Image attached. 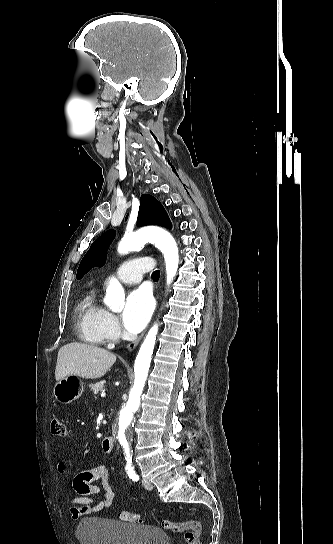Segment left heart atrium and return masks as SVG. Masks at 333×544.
<instances>
[{
  "instance_id": "obj_1",
  "label": "left heart atrium",
  "mask_w": 333,
  "mask_h": 544,
  "mask_svg": "<svg viewBox=\"0 0 333 544\" xmlns=\"http://www.w3.org/2000/svg\"><path fill=\"white\" fill-rule=\"evenodd\" d=\"M154 308L151 292L145 287L133 290L127 297L122 322L130 333L140 332L149 321Z\"/></svg>"
}]
</instances>
